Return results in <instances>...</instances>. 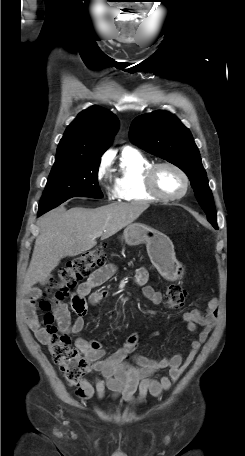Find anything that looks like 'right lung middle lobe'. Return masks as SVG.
<instances>
[{
    "label": "right lung middle lobe",
    "instance_id": "1",
    "mask_svg": "<svg viewBox=\"0 0 245 456\" xmlns=\"http://www.w3.org/2000/svg\"><path fill=\"white\" fill-rule=\"evenodd\" d=\"M100 159H72L55 163L42 195L38 213H45L72 197L101 198Z\"/></svg>",
    "mask_w": 245,
    "mask_h": 456
}]
</instances>
